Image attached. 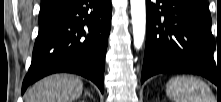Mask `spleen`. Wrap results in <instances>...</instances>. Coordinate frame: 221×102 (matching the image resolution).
I'll return each mask as SVG.
<instances>
[{
  "instance_id": "obj_1",
  "label": "spleen",
  "mask_w": 221,
  "mask_h": 102,
  "mask_svg": "<svg viewBox=\"0 0 221 102\" xmlns=\"http://www.w3.org/2000/svg\"><path fill=\"white\" fill-rule=\"evenodd\" d=\"M167 96L173 102H212L209 86L193 76H176L166 85Z\"/></svg>"
}]
</instances>
